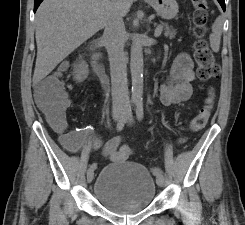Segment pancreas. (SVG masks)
<instances>
[{
	"label": "pancreas",
	"instance_id": "cf45deb5",
	"mask_svg": "<svg viewBox=\"0 0 245 225\" xmlns=\"http://www.w3.org/2000/svg\"><path fill=\"white\" fill-rule=\"evenodd\" d=\"M162 27H163L164 30H165L164 35H165L166 37H169V38H174V37H175V35H176V30H175V29H173L172 27H169V26L166 25V24H163Z\"/></svg>",
	"mask_w": 245,
	"mask_h": 225
}]
</instances>
